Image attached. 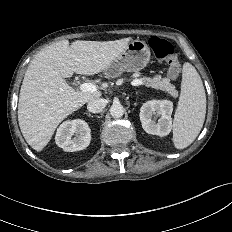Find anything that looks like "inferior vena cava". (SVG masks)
I'll return each instance as SVG.
<instances>
[{"mask_svg":"<svg viewBox=\"0 0 232 232\" xmlns=\"http://www.w3.org/2000/svg\"><path fill=\"white\" fill-rule=\"evenodd\" d=\"M106 104L107 102L105 99L102 98L93 99L89 101L87 105V109L91 113H99L105 108Z\"/></svg>","mask_w":232,"mask_h":232,"instance_id":"inferior-vena-cava-1","label":"inferior vena cava"}]
</instances>
